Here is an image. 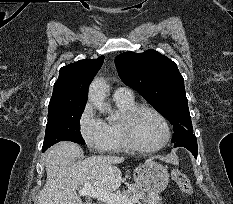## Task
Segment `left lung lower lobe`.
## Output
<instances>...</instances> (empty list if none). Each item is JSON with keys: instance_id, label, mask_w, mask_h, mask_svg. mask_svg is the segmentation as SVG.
Masks as SVG:
<instances>
[{"instance_id": "1", "label": "left lung lower lobe", "mask_w": 233, "mask_h": 204, "mask_svg": "<svg viewBox=\"0 0 233 204\" xmlns=\"http://www.w3.org/2000/svg\"><path fill=\"white\" fill-rule=\"evenodd\" d=\"M174 146H183L192 152L194 156L197 155V141L194 138L188 139L186 143H177Z\"/></svg>"}]
</instances>
